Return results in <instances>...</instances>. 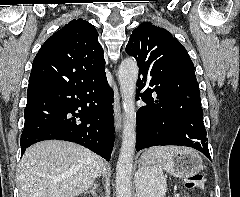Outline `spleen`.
Here are the masks:
<instances>
[{
  "mask_svg": "<svg viewBox=\"0 0 240 197\" xmlns=\"http://www.w3.org/2000/svg\"><path fill=\"white\" fill-rule=\"evenodd\" d=\"M178 147H154L149 152L155 153L160 159H168V155L178 151ZM144 177L143 197H164L166 193V178L158 166H151L139 173Z\"/></svg>",
  "mask_w": 240,
  "mask_h": 197,
  "instance_id": "3e777b00",
  "label": "spleen"
}]
</instances>
